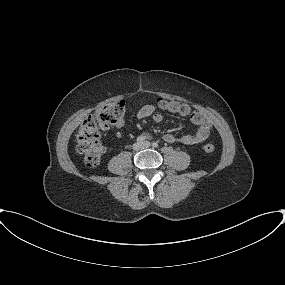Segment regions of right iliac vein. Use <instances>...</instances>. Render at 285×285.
<instances>
[{
	"label": "right iliac vein",
	"mask_w": 285,
	"mask_h": 285,
	"mask_svg": "<svg viewBox=\"0 0 285 285\" xmlns=\"http://www.w3.org/2000/svg\"><path fill=\"white\" fill-rule=\"evenodd\" d=\"M141 148H142V145L140 143H136V144L133 145V149L135 151L141 150Z\"/></svg>",
	"instance_id": "obj_1"
}]
</instances>
